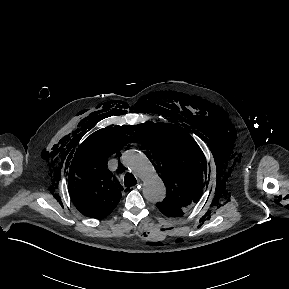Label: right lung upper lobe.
I'll list each match as a JSON object with an SVG mask.
<instances>
[{"mask_svg":"<svg viewBox=\"0 0 289 289\" xmlns=\"http://www.w3.org/2000/svg\"><path fill=\"white\" fill-rule=\"evenodd\" d=\"M125 128L115 126L93 133L72 160L69 194L78 211L87 217L104 218L120 201L122 186L107 169V159L126 144L129 137Z\"/></svg>","mask_w":289,"mask_h":289,"instance_id":"1","label":"right lung upper lobe"}]
</instances>
